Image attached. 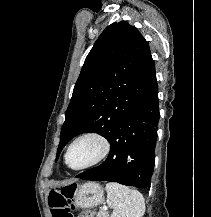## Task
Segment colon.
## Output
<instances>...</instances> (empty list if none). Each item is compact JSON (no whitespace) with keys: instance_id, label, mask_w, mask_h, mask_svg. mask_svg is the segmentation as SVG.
Wrapping results in <instances>:
<instances>
[{"instance_id":"colon-1","label":"colon","mask_w":211,"mask_h":217,"mask_svg":"<svg viewBox=\"0 0 211 217\" xmlns=\"http://www.w3.org/2000/svg\"><path fill=\"white\" fill-rule=\"evenodd\" d=\"M75 190V185H69L49 193L48 202L53 217H73L71 200ZM79 217H94V214L91 211H85Z\"/></svg>"}]
</instances>
